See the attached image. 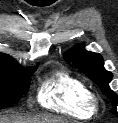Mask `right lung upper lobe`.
Here are the masks:
<instances>
[{"label":"right lung upper lobe","mask_w":118,"mask_h":123,"mask_svg":"<svg viewBox=\"0 0 118 123\" xmlns=\"http://www.w3.org/2000/svg\"><path fill=\"white\" fill-rule=\"evenodd\" d=\"M0 63L10 64L21 68L11 57L2 53H0Z\"/></svg>","instance_id":"cb5924a9"}]
</instances>
